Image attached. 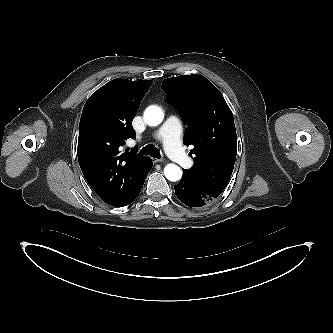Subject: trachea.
I'll list each match as a JSON object with an SVG mask.
<instances>
[{"label": "trachea", "mask_w": 333, "mask_h": 333, "mask_svg": "<svg viewBox=\"0 0 333 333\" xmlns=\"http://www.w3.org/2000/svg\"><path fill=\"white\" fill-rule=\"evenodd\" d=\"M139 154H141V155H150L154 158H160L161 157L160 152L156 148H154V146H152V145H146L145 147H143L140 150Z\"/></svg>", "instance_id": "3493384b"}]
</instances>
